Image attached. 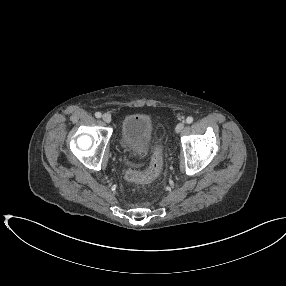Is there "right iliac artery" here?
<instances>
[{"instance_id": "1", "label": "right iliac artery", "mask_w": 286, "mask_h": 286, "mask_svg": "<svg viewBox=\"0 0 286 286\" xmlns=\"http://www.w3.org/2000/svg\"><path fill=\"white\" fill-rule=\"evenodd\" d=\"M95 116H96V118H100L101 117V113L100 112H96Z\"/></svg>"}]
</instances>
